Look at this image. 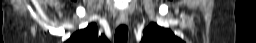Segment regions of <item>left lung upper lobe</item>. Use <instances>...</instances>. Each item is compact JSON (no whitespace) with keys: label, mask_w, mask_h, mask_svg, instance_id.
Listing matches in <instances>:
<instances>
[{"label":"left lung upper lobe","mask_w":256,"mask_h":43,"mask_svg":"<svg viewBox=\"0 0 256 43\" xmlns=\"http://www.w3.org/2000/svg\"><path fill=\"white\" fill-rule=\"evenodd\" d=\"M143 35L140 43H183L169 29L159 27L156 23H151L143 31Z\"/></svg>","instance_id":"5c2ea615"}]
</instances>
